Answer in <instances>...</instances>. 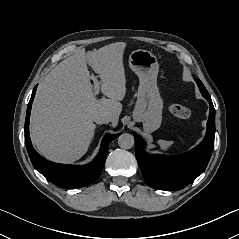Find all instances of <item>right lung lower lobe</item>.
<instances>
[{"label": "right lung lower lobe", "mask_w": 239, "mask_h": 239, "mask_svg": "<svg viewBox=\"0 0 239 239\" xmlns=\"http://www.w3.org/2000/svg\"><path fill=\"white\" fill-rule=\"evenodd\" d=\"M36 88L37 85L28 103L25 120V145L33 166L47 180L61 188H79L91 184L99 177L104 167L110 142L120 136L121 133L104 137L98 155L95 160L88 165H64L47 161L35 151L29 135L30 112Z\"/></svg>", "instance_id": "right-lung-lower-lobe-1"}]
</instances>
